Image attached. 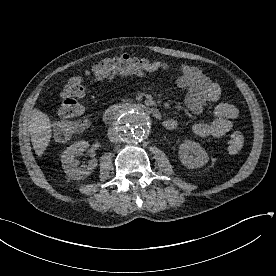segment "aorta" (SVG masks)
Masks as SVG:
<instances>
[{
  "mask_svg": "<svg viewBox=\"0 0 276 276\" xmlns=\"http://www.w3.org/2000/svg\"><path fill=\"white\" fill-rule=\"evenodd\" d=\"M148 127L146 113L134 107L125 110L118 121L121 138L129 143L143 140L147 136Z\"/></svg>",
  "mask_w": 276,
  "mask_h": 276,
  "instance_id": "obj_1",
  "label": "aorta"
}]
</instances>
